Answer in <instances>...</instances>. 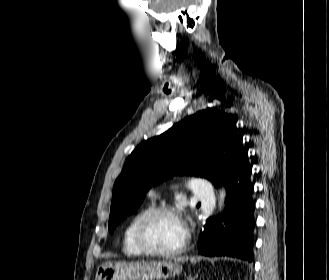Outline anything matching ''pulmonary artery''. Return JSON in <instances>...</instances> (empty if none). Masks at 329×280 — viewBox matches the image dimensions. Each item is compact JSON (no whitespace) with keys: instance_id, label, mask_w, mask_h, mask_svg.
<instances>
[{"instance_id":"e3ab8cb5","label":"pulmonary artery","mask_w":329,"mask_h":280,"mask_svg":"<svg viewBox=\"0 0 329 280\" xmlns=\"http://www.w3.org/2000/svg\"><path fill=\"white\" fill-rule=\"evenodd\" d=\"M191 186L195 196L200 200L207 202L212 198L213 188L209 181L202 178H195L191 180ZM149 196L155 197L156 191L150 190Z\"/></svg>"}]
</instances>
